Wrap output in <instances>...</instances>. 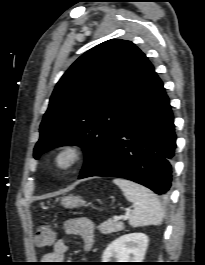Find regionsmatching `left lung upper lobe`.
<instances>
[{
	"instance_id": "left-lung-upper-lobe-1",
	"label": "left lung upper lobe",
	"mask_w": 205,
	"mask_h": 265,
	"mask_svg": "<svg viewBox=\"0 0 205 265\" xmlns=\"http://www.w3.org/2000/svg\"><path fill=\"white\" fill-rule=\"evenodd\" d=\"M153 71L145 54L130 41L108 40L84 53L52 93L34 158L58 146L78 145L85 153L84 169L141 95Z\"/></svg>"
}]
</instances>
